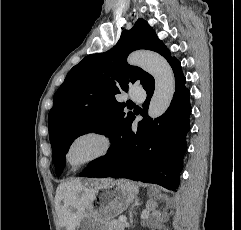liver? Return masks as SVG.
<instances>
[{
  "label": "liver",
  "mask_w": 241,
  "mask_h": 230,
  "mask_svg": "<svg viewBox=\"0 0 241 230\" xmlns=\"http://www.w3.org/2000/svg\"><path fill=\"white\" fill-rule=\"evenodd\" d=\"M106 181L111 180L97 181L90 186L62 183L57 187L55 196L56 209L58 217L62 225L66 227V230H75L85 210L92 203L97 186L99 183Z\"/></svg>",
  "instance_id": "obj_1"
}]
</instances>
